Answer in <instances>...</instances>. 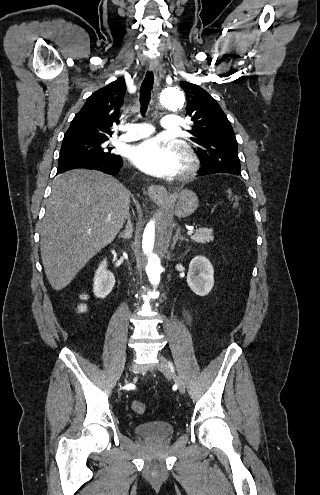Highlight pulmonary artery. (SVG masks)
<instances>
[{
    "label": "pulmonary artery",
    "instance_id": "e3ab8cb5",
    "mask_svg": "<svg viewBox=\"0 0 320 495\" xmlns=\"http://www.w3.org/2000/svg\"><path fill=\"white\" fill-rule=\"evenodd\" d=\"M161 126L167 131H176L180 126V118L168 115L162 118ZM153 127L148 123L130 124L127 132L119 137L122 141H134L150 136L153 133Z\"/></svg>",
    "mask_w": 320,
    "mask_h": 495
}]
</instances>
